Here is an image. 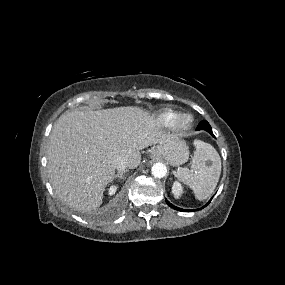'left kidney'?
<instances>
[{"instance_id": "left-kidney-1", "label": "left kidney", "mask_w": 285, "mask_h": 285, "mask_svg": "<svg viewBox=\"0 0 285 285\" xmlns=\"http://www.w3.org/2000/svg\"><path fill=\"white\" fill-rule=\"evenodd\" d=\"M172 193L174 194L175 198H177V199L182 195L183 188L179 182L175 181L173 183Z\"/></svg>"}]
</instances>
